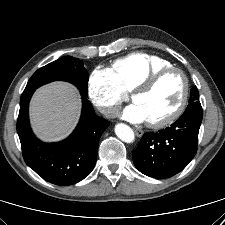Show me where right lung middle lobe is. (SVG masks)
<instances>
[{
  "label": "right lung middle lobe",
  "instance_id": "obj_1",
  "mask_svg": "<svg viewBox=\"0 0 225 225\" xmlns=\"http://www.w3.org/2000/svg\"><path fill=\"white\" fill-rule=\"evenodd\" d=\"M55 80L71 82L79 88L82 96L88 95V73L83 67V63L71 56L62 57L38 69L28 81L24 91L35 90L39 86Z\"/></svg>",
  "mask_w": 225,
  "mask_h": 225
}]
</instances>
